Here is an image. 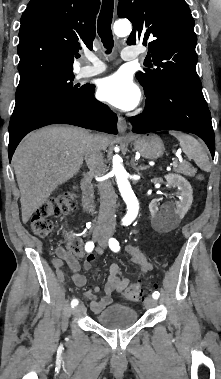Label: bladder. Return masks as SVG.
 Returning <instances> with one entry per match:
<instances>
[{"label": "bladder", "mask_w": 221, "mask_h": 379, "mask_svg": "<svg viewBox=\"0 0 221 379\" xmlns=\"http://www.w3.org/2000/svg\"><path fill=\"white\" fill-rule=\"evenodd\" d=\"M95 320L99 325L107 329H125L137 322L138 312L126 305L113 304L101 311L95 317Z\"/></svg>", "instance_id": "31cf9c89"}]
</instances>
